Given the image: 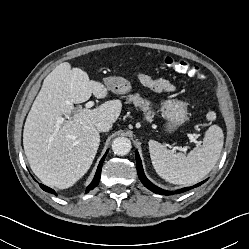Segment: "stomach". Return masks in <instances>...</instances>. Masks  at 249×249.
I'll list each match as a JSON object with an SVG mask.
<instances>
[{
    "instance_id": "0dacf381",
    "label": "stomach",
    "mask_w": 249,
    "mask_h": 249,
    "mask_svg": "<svg viewBox=\"0 0 249 249\" xmlns=\"http://www.w3.org/2000/svg\"><path fill=\"white\" fill-rule=\"evenodd\" d=\"M108 90L116 94H126L132 89L131 83L123 77H108L104 79ZM161 114L168 121V129L182 125L188 116L187 106L183 101L168 99L161 106Z\"/></svg>"
}]
</instances>
